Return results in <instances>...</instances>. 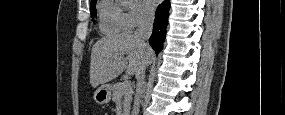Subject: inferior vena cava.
I'll list each match as a JSON object with an SVG mask.
<instances>
[{"instance_id": "inferior-vena-cava-1", "label": "inferior vena cava", "mask_w": 285, "mask_h": 115, "mask_svg": "<svg viewBox=\"0 0 285 115\" xmlns=\"http://www.w3.org/2000/svg\"><path fill=\"white\" fill-rule=\"evenodd\" d=\"M154 16L152 14L144 15L139 21L138 28L134 33V38L141 44L145 49L148 47L147 40L152 34ZM145 64H142L138 71L136 72L137 79V90H134V101L141 104L145 95L144 90V78H145ZM141 113L140 109H137L134 115H139Z\"/></svg>"}]
</instances>
